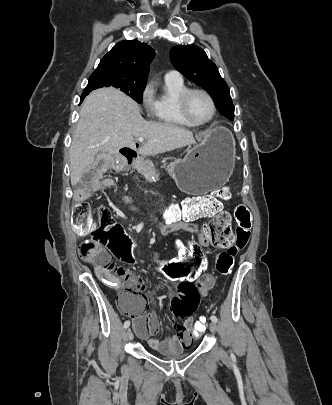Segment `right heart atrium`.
<instances>
[{
	"label": "right heart atrium",
	"mask_w": 332,
	"mask_h": 405,
	"mask_svg": "<svg viewBox=\"0 0 332 405\" xmlns=\"http://www.w3.org/2000/svg\"><path fill=\"white\" fill-rule=\"evenodd\" d=\"M141 102L148 112H151L154 105L153 92L150 85H146L140 96Z\"/></svg>",
	"instance_id": "1"
}]
</instances>
